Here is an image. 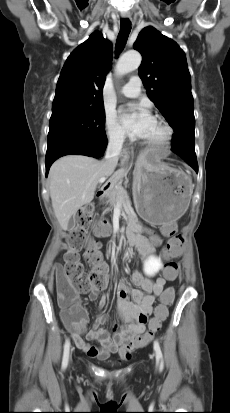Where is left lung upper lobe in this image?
Masks as SVG:
<instances>
[{"label": "left lung upper lobe", "mask_w": 230, "mask_h": 413, "mask_svg": "<svg viewBox=\"0 0 230 413\" xmlns=\"http://www.w3.org/2000/svg\"><path fill=\"white\" fill-rule=\"evenodd\" d=\"M133 47L142 54L138 74L147 95L174 129L173 152L195 156L194 104L184 51L152 26L141 30Z\"/></svg>", "instance_id": "5c2ea615"}]
</instances>
